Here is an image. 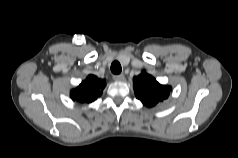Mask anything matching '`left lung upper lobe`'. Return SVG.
<instances>
[{"label": "left lung upper lobe", "mask_w": 238, "mask_h": 158, "mask_svg": "<svg viewBox=\"0 0 238 158\" xmlns=\"http://www.w3.org/2000/svg\"><path fill=\"white\" fill-rule=\"evenodd\" d=\"M133 87L136 97L147 107L155 106L166 99L171 87L159 84L155 78L143 71L134 77Z\"/></svg>", "instance_id": "obj_1"}]
</instances>
